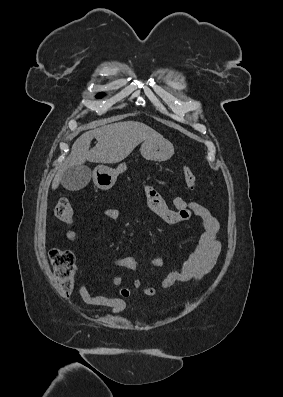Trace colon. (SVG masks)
Returning <instances> with one entry per match:
<instances>
[{
	"mask_svg": "<svg viewBox=\"0 0 283 397\" xmlns=\"http://www.w3.org/2000/svg\"><path fill=\"white\" fill-rule=\"evenodd\" d=\"M183 176L190 190L196 188V176L189 166H184ZM54 216L70 224L74 219V209L67 199H61L54 207ZM50 261L56 276L59 288L64 295H69L74 289L75 258L71 251L64 249H53L50 251Z\"/></svg>",
	"mask_w": 283,
	"mask_h": 397,
	"instance_id": "1",
	"label": "colon"
}]
</instances>
